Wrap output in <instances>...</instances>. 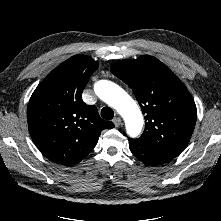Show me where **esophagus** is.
Returning <instances> with one entry per match:
<instances>
[{
  "label": "esophagus",
  "instance_id": "obj_1",
  "mask_svg": "<svg viewBox=\"0 0 221 221\" xmlns=\"http://www.w3.org/2000/svg\"><path fill=\"white\" fill-rule=\"evenodd\" d=\"M113 123H114L115 127H119V126L122 125V120H121L120 117H115V118L113 119Z\"/></svg>",
  "mask_w": 221,
  "mask_h": 221
}]
</instances>
